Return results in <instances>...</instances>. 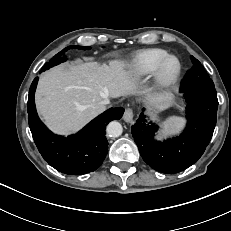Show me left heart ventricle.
I'll list each match as a JSON object with an SVG mask.
<instances>
[{
	"label": "left heart ventricle",
	"mask_w": 231,
	"mask_h": 231,
	"mask_svg": "<svg viewBox=\"0 0 231 231\" xmlns=\"http://www.w3.org/2000/svg\"><path fill=\"white\" fill-rule=\"evenodd\" d=\"M176 69H177V62L174 59H172L166 64V66L164 68V75L166 77H169L172 74H174Z\"/></svg>",
	"instance_id": "1"
}]
</instances>
